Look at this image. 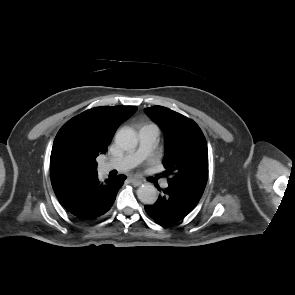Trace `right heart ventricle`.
Instances as JSON below:
<instances>
[{"label": "right heart ventricle", "instance_id": "right-heart-ventricle-1", "mask_svg": "<svg viewBox=\"0 0 295 295\" xmlns=\"http://www.w3.org/2000/svg\"><path fill=\"white\" fill-rule=\"evenodd\" d=\"M150 127H153L154 129H156L157 130V128L154 126V125H149Z\"/></svg>", "mask_w": 295, "mask_h": 295}]
</instances>
